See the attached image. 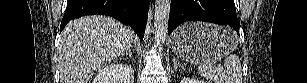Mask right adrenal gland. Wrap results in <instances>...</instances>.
Returning <instances> with one entry per match:
<instances>
[{"mask_svg": "<svg viewBox=\"0 0 307 83\" xmlns=\"http://www.w3.org/2000/svg\"><path fill=\"white\" fill-rule=\"evenodd\" d=\"M129 56L130 58H132V49L131 48H129L125 53H123L122 55H121V57H123V56Z\"/></svg>", "mask_w": 307, "mask_h": 83, "instance_id": "2a0ac1e0", "label": "right adrenal gland"}]
</instances>
